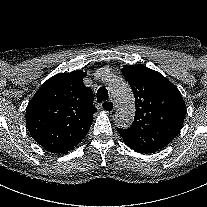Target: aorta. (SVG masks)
<instances>
[{
    "instance_id": "aorta-1",
    "label": "aorta",
    "mask_w": 207,
    "mask_h": 207,
    "mask_svg": "<svg viewBox=\"0 0 207 207\" xmlns=\"http://www.w3.org/2000/svg\"><path fill=\"white\" fill-rule=\"evenodd\" d=\"M108 89L117 105L114 118L117 127L121 129L129 128L135 116L134 95L129 84L118 76H111Z\"/></svg>"
}]
</instances>
